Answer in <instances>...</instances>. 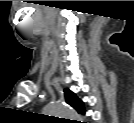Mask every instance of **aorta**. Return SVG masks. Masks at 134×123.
Returning a JSON list of instances; mask_svg holds the SVG:
<instances>
[{"instance_id":"762f6f07","label":"aorta","mask_w":134,"mask_h":123,"mask_svg":"<svg viewBox=\"0 0 134 123\" xmlns=\"http://www.w3.org/2000/svg\"><path fill=\"white\" fill-rule=\"evenodd\" d=\"M44 113L49 116L60 118H70L71 120L78 119V113L71 107L63 104H49L44 108Z\"/></svg>"}]
</instances>
